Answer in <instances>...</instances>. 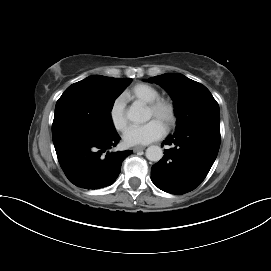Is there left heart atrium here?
<instances>
[{"mask_svg":"<svg viewBox=\"0 0 271 271\" xmlns=\"http://www.w3.org/2000/svg\"><path fill=\"white\" fill-rule=\"evenodd\" d=\"M165 133L164 125L153 119L143 125L129 126L123 134V140L129 146L146 145L162 138Z\"/></svg>","mask_w":271,"mask_h":271,"instance_id":"obj_1","label":"left heart atrium"}]
</instances>
